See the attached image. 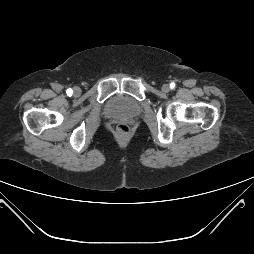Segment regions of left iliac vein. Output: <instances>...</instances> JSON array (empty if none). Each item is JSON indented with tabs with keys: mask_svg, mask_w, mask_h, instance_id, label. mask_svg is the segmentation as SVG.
Listing matches in <instances>:
<instances>
[{
	"mask_svg": "<svg viewBox=\"0 0 254 254\" xmlns=\"http://www.w3.org/2000/svg\"><path fill=\"white\" fill-rule=\"evenodd\" d=\"M162 91L168 93L170 91V86L168 84H164L162 86Z\"/></svg>",
	"mask_w": 254,
	"mask_h": 254,
	"instance_id": "obj_1",
	"label": "left iliac vein"
}]
</instances>
